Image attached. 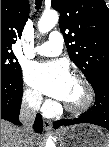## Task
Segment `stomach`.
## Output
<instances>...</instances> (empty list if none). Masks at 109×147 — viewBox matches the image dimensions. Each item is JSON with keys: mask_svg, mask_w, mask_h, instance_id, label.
<instances>
[{"mask_svg": "<svg viewBox=\"0 0 109 147\" xmlns=\"http://www.w3.org/2000/svg\"><path fill=\"white\" fill-rule=\"evenodd\" d=\"M62 147H109V135L92 124H78L58 132Z\"/></svg>", "mask_w": 109, "mask_h": 147, "instance_id": "0dacf381", "label": "stomach"}]
</instances>
